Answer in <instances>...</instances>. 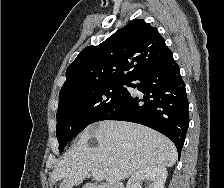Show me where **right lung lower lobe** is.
I'll use <instances>...</instances> for the list:
<instances>
[{
    "instance_id": "1",
    "label": "right lung lower lobe",
    "mask_w": 224,
    "mask_h": 188,
    "mask_svg": "<svg viewBox=\"0 0 224 188\" xmlns=\"http://www.w3.org/2000/svg\"><path fill=\"white\" fill-rule=\"evenodd\" d=\"M126 98L101 120L139 123L164 134L175 144L179 157L189 126V103L179 66L169 55L131 80Z\"/></svg>"
}]
</instances>
